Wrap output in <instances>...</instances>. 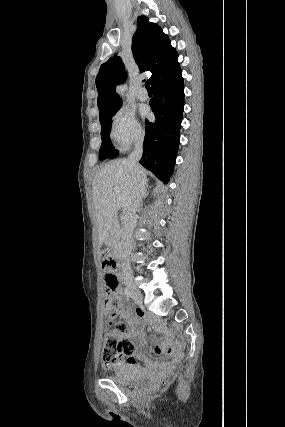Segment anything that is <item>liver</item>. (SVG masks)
Instances as JSON below:
<instances>
[{
	"label": "liver",
	"instance_id": "obj_1",
	"mask_svg": "<svg viewBox=\"0 0 285 427\" xmlns=\"http://www.w3.org/2000/svg\"><path fill=\"white\" fill-rule=\"evenodd\" d=\"M142 168V167H141ZM144 174L145 170L142 168ZM134 187L132 170L127 159H118L102 166L93 181V215L98 228L99 245L106 240L116 219L117 197L130 199Z\"/></svg>",
	"mask_w": 285,
	"mask_h": 427
}]
</instances>
